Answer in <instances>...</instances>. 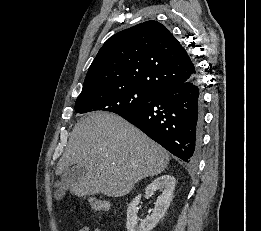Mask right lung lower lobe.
Here are the masks:
<instances>
[{
    "label": "right lung lower lobe",
    "mask_w": 261,
    "mask_h": 231,
    "mask_svg": "<svg viewBox=\"0 0 261 231\" xmlns=\"http://www.w3.org/2000/svg\"><path fill=\"white\" fill-rule=\"evenodd\" d=\"M197 76L156 94L144 106L120 116L183 161L195 164L203 127Z\"/></svg>",
    "instance_id": "right-lung-lower-lobe-1"
}]
</instances>
